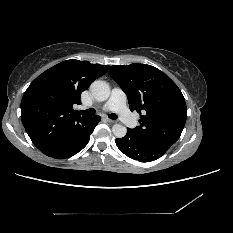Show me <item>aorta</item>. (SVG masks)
Instances as JSON below:
<instances>
[{"label":"aorta","instance_id":"obj_1","mask_svg":"<svg viewBox=\"0 0 233 233\" xmlns=\"http://www.w3.org/2000/svg\"><path fill=\"white\" fill-rule=\"evenodd\" d=\"M90 91L97 101H105L110 96V86L105 81H94L90 86ZM112 132L117 138H122L127 133V128L120 124H114Z\"/></svg>","mask_w":233,"mask_h":233}]
</instances>
